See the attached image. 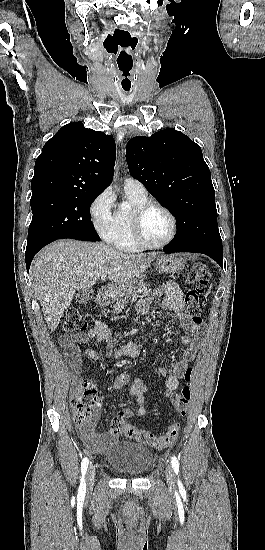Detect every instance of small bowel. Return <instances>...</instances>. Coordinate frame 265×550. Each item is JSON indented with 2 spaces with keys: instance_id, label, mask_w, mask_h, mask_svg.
I'll return each instance as SVG.
<instances>
[{
  "instance_id": "obj_1",
  "label": "small bowel",
  "mask_w": 265,
  "mask_h": 550,
  "mask_svg": "<svg viewBox=\"0 0 265 550\" xmlns=\"http://www.w3.org/2000/svg\"><path fill=\"white\" fill-rule=\"evenodd\" d=\"M161 300L153 304L154 299ZM184 303L183 294L180 288L172 281H168L158 288L152 296L142 299L137 304V312L142 315H148L152 310L155 311H170L175 313L184 329V334L181 338V343L185 346L182 356L177 359L172 368L160 367L159 373L165 378V392L168 395L173 394L178 386L179 381L184 377L186 370L189 368L190 362L196 359L200 350L204 346V338L200 334L199 326L193 323L183 313ZM96 339L100 342H106L109 345L116 343L110 329L102 322H97L95 326L88 331L76 335H63L60 337V343L65 348V357L71 368L75 369L81 362L80 346L83 345L84 354L94 361H100L101 355L87 347L88 343ZM142 348L137 343H127L122 345L113 354L114 359L122 358H138L141 355ZM113 388H127L131 395L136 398L138 404L137 414L140 417L146 415L145 409V393L147 386L139 379H132L127 371L119 372L113 382ZM99 410L96 413L94 421L84 427H81L79 434L85 446L93 451L99 452L107 448L114 441L115 435L112 432L98 433L95 430V424L99 416ZM118 416L122 418H131L134 415V410L130 407L120 409Z\"/></svg>"
}]
</instances>
